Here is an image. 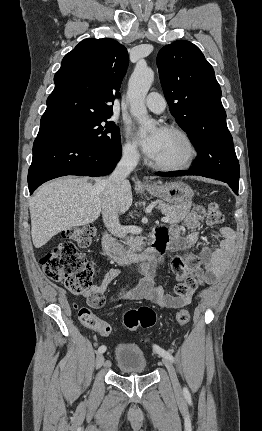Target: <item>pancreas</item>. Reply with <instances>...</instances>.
I'll use <instances>...</instances> for the list:
<instances>
[{"label": "pancreas", "instance_id": "1", "mask_svg": "<svg viewBox=\"0 0 262 431\" xmlns=\"http://www.w3.org/2000/svg\"><path fill=\"white\" fill-rule=\"evenodd\" d=\"M157 203L159 210L162 212L163 215H165V217L168 218L169 224H174L182 221L191 208L190 204L168 205L159 200L157 201ZM126 244L129 246L130 249H139L142 245V239L138 237H130L127 240Z\"/></svg>", "mask_w": 262, "mask_h": 431}]
</instances>
